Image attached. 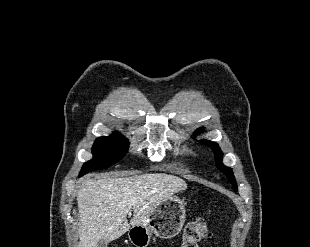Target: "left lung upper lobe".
Returning a JSON list of instances; mask_svg holds the SVG:
<instances>
[{
	"mask_svg": "<svg viewBox=\"0 0 310 247\" xmlns=\"http://www.w3.org/2000/svg\"><path fill=\"white\" fill-rule=\"evenodd\" d=\"M204 130V128H200L198 129L195 133L198 134L200 132H202ZM202 144L210 146L211 149L213 150L214 154H215V160H216V167L223 172L226 177L229 179V181L233 184V189L235 191H237V184H236V180L234 178V174L232 172V169H230L229 167H226L222 164V156L223 153L220 150L219 146L217 143L211 142V141H207V140H202L200 141Z\"/></svg>",
	"mask_w": 310,
	"mask_h": 247,
	"instance_id": "obj_1",
	"label": "left lung upper lobe"
}]
</instances>
